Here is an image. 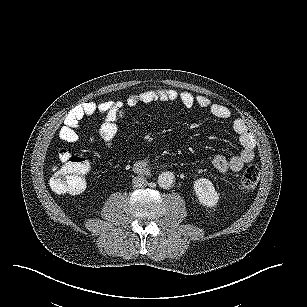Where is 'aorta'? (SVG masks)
I'll use <instances>...</instances> for the list:
<instances>
[{
  "instance_id": "aorta-1",
  "label": "aorta",
  "mask_w": 307,
  "mask_h": 307,
  "mask_svg": "<svg viewBox=\"0 0 307 307\" xmlns=\"http://www.w3.org/2000/svg\"><path fill=\"white\" fill-rule=\"evenodd\" d=\"M175 182V176L170 171H164L159 174L157 183L162 189H170Z\"/></svg>"
}]
</instances>
